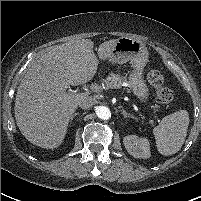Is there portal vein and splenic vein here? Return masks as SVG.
I'll use <instances>...</instances> for the list:
<instances>
[{
	"mask_svg": "<svg viewBox=\"0 0 201 201\" xmlns=\"http://www.w3.org/2000/svg\"><path fill=\"white\" fill-rule=\"evenodd\" d=\"M89 89H91L92 91L97 92L100 89V87L97 84H91L89 86ZM85 90H88V89L85 88ZM69 92H76V91H73V90L69 89Z\"/></svg>",
	"mask_w": 201,
	"mask_h": 201,
	"instance_id": "portal-vein-and-splenic-vein-1",
	"label": "portal vein and splenic vein"
}]
</instances>
